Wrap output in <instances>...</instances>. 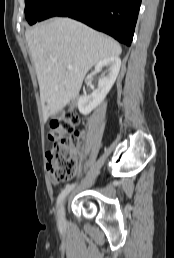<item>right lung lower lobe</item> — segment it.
<instances>
[{
  "label": "right lung lower lobe",
  "instance_id": "1",
  "mask_svg": "<svg viewBox=\"0 0 174 258\" xmlns=\"http://www.w3.org/2000/svg\"><path fill=\"white\" fill-rule=\"evenodd\" d=\"M140 4L141 0H53L42 20L70 17L130 46Z\"/></svg>",
  "mask_w": 174,
  "mask_h": 258
}]
</instances>
